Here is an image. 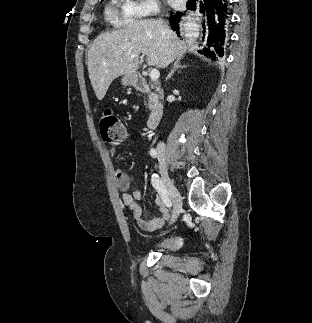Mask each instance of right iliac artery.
Instances as JSON below:
<instances>
[{
	"label": "right iliac artery",
	"instance_id": "1",
	"mask_svg": "<svg viewBox=\"0 0 312 323\" xmlns=\"http://www.w3.org/2000/svg\"><path fill=\"white\" fill-rule=\"evenodd\" d=\"M150 154H151L152 157L157 156L156 151H151ZM151 183H152L153 187L159 193V195H160L162 201L164 202V204L167 207H171L172 202H171L170 198L168 197L167 190H166L164 184L162 183V180L160 179V177L156 173L152 174Z\"/></svg>",
	"mask_w": 312,
	"mask_h": 323
}]
</instances>
